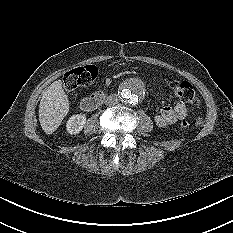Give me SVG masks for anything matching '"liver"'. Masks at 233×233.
<instances>
[{
    "label": "liver",
    "mask_w": 233,
    "mask_h": 233,
    "mask_svg": "<svg viewBox=\"0 0 233 233\" xmlns=\"http://www.w3.org/2000/svg\"><path fill=\"white\" fill-rule=\"evenodd\" d=\"M69 111V99L62 81H54L43 93L39 105V121L46 134H52L60 126Z\"/></svg>",
    "instance_id": "obj_1"
}]
</instances>
